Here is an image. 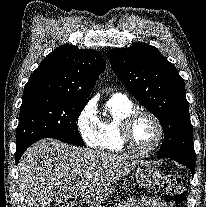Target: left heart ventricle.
Segmentation results:
<instances>
[{"instance_id":"obj_1","label":"left heart ventricle","mask_w":206,"mask_h":207,"mask_svg":"<svg viewBox=\"0 0 206 207\" xmlns=\"http://www.w3.org/2000/svg\"><path fill=\"white\" fill-rule=\"evenodd\" d=\"M158 136L155 123L148 117L143 116L136 120L131 128V138L134 146L140 150L151 148Z\"/></svg>"}]
</instances>
